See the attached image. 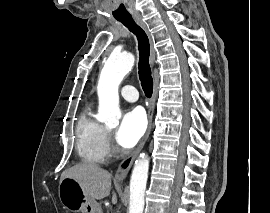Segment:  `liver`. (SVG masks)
Wrapping results in <instances>:
<instances>
[{"label": "liver", "instance_id": "liver-1", "mask_svg": "<svg viewBox=\"0 0 270 213\" xmlns=\"http://www.w3.org/2000/svg\"><path fill=\"white\" fill-rule=\"evenodd\" d=\"M66 177L75 179L91 199L101 200L110 194L111 174L95 164L80 163L74 165L61 174L60 181ZM112 203H117L115 192L112 195Z\"/></svg>", "mask_w": 270, "mask_h": 213}]
</instances>
